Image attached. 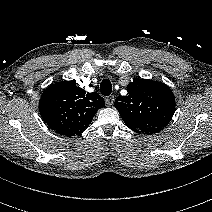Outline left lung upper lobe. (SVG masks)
Instances as JSON below:
<instances>
[{"mask_svg": "<svg viewBox=\"0 0 212 212\" xmlns=\"http://www.w3.org/2000/svg\"><path fill=\"white\" fill-rule=\"evenodd\" d=\"M127 95L118 96L115 107L123 121L136 133L155 134L170 122L175 110L171 89L149 79H135L127 86Z\"/></svg>", "mask_w": 212, "mask_h": 212, "instance_id": "left-lung-upper-lobe-1", "label": "left lung upper lobe"}]
</instances>
